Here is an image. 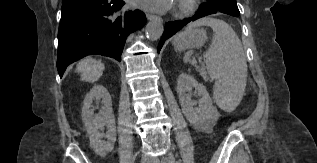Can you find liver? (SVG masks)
Instances as JSON below:
<instances>
[{"mask_svg":"<svg viewBox=\"0 0 317 163\" xmlns=\"http://www.w3.org/2000/svg\"><path fill=\"white\" fill-rule=\"evenodd\" d=\"M76 71L80 73L82 81L96 82L103 74L104 64L100 60L97 61L89 57L77 64Z\"/></svg>","mask_w":317,"mask_h":163,"instance_id":"6515ba94","label":"liver"}]
</instances>
